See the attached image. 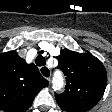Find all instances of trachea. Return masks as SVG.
I'll return each mask as SVG.
<instances>
[{"mask_svg":"<svg viewBox=\"0 0 112 112\" xmlns=\"http://www.w3.org/2000/svg\"><path fill=\"white\" fill-rule=\"evenodd\" d=\"M35 63L37 66H44L46 64V60L42 55H38L35 59ZM44 69V68H42ZM44 76H47L46 70H42Z\"/></svg>","mask_w":112,"mask_h":112,"instance_id":"obj_1","label":"trachea"}]
</instances>
